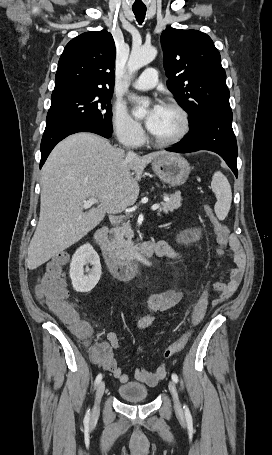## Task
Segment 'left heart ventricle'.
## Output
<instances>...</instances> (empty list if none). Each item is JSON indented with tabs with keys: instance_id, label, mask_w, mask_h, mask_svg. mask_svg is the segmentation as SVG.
I'll list each match as a JSON object with an SVG mask.
<instances>
[{
	"instance_id": "obj_1",
	"label": "left heart ventricle",
	"mask_w": 272,
	"mask_h": 455,
	"mask_svg": "<svg viewBox=\"0 0 272 455\" xmlns=\"http://www.w3.org/2000/svg\"><path fill=\"white\" fill-rule=\"evenodd\" d=\"M180 127L181 120L178 113L171 108L163 106L159 121L152 134L160 139H168L176 135Z\"/></svg>"
}]
</instances>
